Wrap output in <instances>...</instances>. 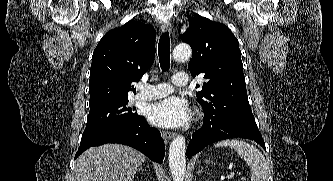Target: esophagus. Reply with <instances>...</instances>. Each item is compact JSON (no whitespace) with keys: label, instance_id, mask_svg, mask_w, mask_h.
Here are the masks:
<instances>
[{"label":"esophagus","instance_id":"1","mask_svg":"<svg viewBox=\"0 0 333 181\" xmlns=\"http://www.w3.org/2000/svg\"><path fill=\"white\" fill-rule=\"evenodd\" d=\"M161 29L163 32L171 31V24L169 22H164L161 25ZM161 135L165 141H169L176 136V133L170 131H162Z\"/></svg>","mask_w":333,"mask_h":181}]
</instances>
